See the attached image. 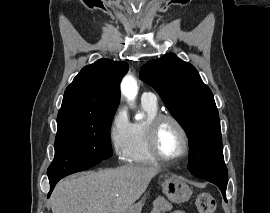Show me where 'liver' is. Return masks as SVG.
Here are the masks:
<instances>
[{
    "mask_svg": "<svg viewBox=\"0 0 270 213\" xmlns=\"http://www.w3.org/2000/svg\"><path fill=\"white\" fill-rule=\"evenodd\" d=\"M161 172L156 165H124L72 175L51 196L53 213H127Z\"/></svg>",
    "mask_w": 270,
    "mask_h": 213,
    "instance_id": "1",
    "label": "liver"
}]
</instances>
